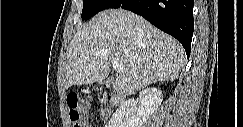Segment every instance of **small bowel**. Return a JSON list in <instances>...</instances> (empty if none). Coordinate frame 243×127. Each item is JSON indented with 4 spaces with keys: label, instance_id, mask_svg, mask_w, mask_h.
I'll list each match as a JSON object with an SVG mask.
<instances>
[{
    "label": "small bowel",
    "instance_id": "obj_1",
    "mask_svg": "<svg viewBox=\"0 0 243 127\" xmlns=\"http://www.w3.org/2000/svg\"><path fill=\"white\" fill-rule=\"evenodd\" d=\"M90 125H88L87 123H85V127H89Z\"/></svg>",
    "mask_w": 243,
    "mask_h": 127
}]
</instances>
